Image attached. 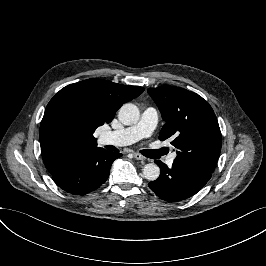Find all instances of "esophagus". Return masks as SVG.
I'll return each instance as SVG.
<instances>
[{"instance_id": "34e87169", "label": "esophagus", "mask_w": 266, "mask_h": 266, "mask_svg": "<svg viewBox=\"0 0 266 266\" xmlns=\"http://www.w3.org/2000/svg\"><path fill=\"white\" fill-rule=\"evenodd\" d=\"M134 158L137 159V160H145L146 158L139 154V153H134Z\"/></svg>"}]
</instances>
